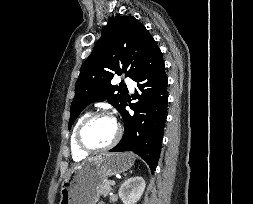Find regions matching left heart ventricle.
<instances>
[{
    "instance_id": "left-heart-ventricle-1",
    "label": "left heart ventricle",
    "mask_w": 253,
    "mask_h": 204,
    "mask_svg": "<svg viewBox=\"0 0 253 204\" xmlns=\"http://www.w3.org/2000/svg\"><path fill=\"white\" fill-rule=\"evenodd\" d=\"M117 126L110 117H99L92 120L83 131L84 142L94 148L109 144L116 135Z\"/></svg>"
}]
</instances>
